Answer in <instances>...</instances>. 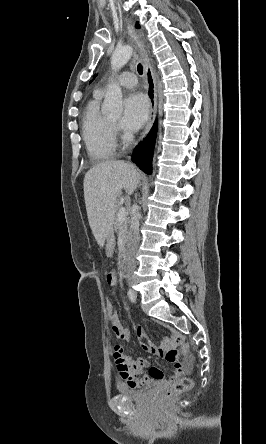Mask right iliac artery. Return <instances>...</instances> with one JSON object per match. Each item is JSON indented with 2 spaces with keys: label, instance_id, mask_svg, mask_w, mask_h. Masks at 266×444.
Listing matches in <instances>:
<instances>
[{
  "label": "right iliac artery",
  "instance_id": "1",
  "mask_svg": "<svg viewBox=\"0 0 266 444\" xmlns=\"http://www.w3.org/2000/svg\"><path fill=\"white\" fill-rule=\"evenodd\" d=\"M127 295H128V297H129L131 302H135L136 301V296H135V293H134V291L132 289L128 290Z\"/></svg>",
  "mask_w": 266,
  "mask_h": 444
}]
</instances>
